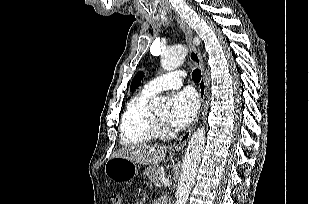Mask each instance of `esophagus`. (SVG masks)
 Wrapping results in <instances>:
<instances>
[{"label": "esophagus", "mask_w": 309, "mask_h": 204, "mask_svg": "<svg viewBox=\"0 0 309 204\" xmlns=\"http://www.w3.org/2000/svg\"><path fill=\"white\" fill-rule=\"evenodd\" d=\"M177 22H178L181 30L185 34L186 42L189 46V57H190L191 61L197 67H199V69L201 70V73H202L201 81L199 83V96H200V100H201V110H202V108L205 104L206 89H207V87H206V77H205V71H204V63H203L202 57L200 56V54L197 51L194 43L192 42V38H193L192 30L183 20H180L179 18H177ZM195 40H199V39L196 38ZM201 110L199 111V113H198V115L195 119L194 124L184 134H182L180 137H178L175 140V142L173 143L174 149L181 150L186 145V143L188 142V140L191 136V133L193 132V130L195 128V125L198 121Z\"/></svg>", "instance_id": "34e87169"}]
</instances>
